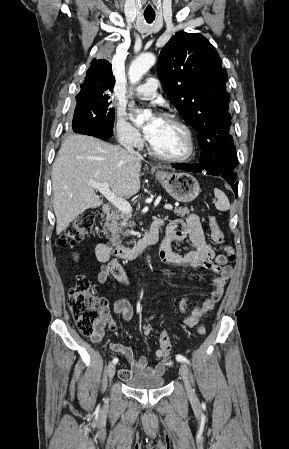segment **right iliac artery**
I'll use <instances>...</instances> for the list:
<instances>
[{
  "label": "right iliac artery",
  "mask_w": 289,
  "mask_h": 449,
  "mask_svg": "<svg viewBox=\"0 0 289 449\" xmlns=\"http://www.w3.org/2000/svg\"><path fill=\"white\" fill-rule=\"evenodd\" d=\"M118 362V359L117 358H114L113 360H112V363L113 364H116Z\"/></svg>",
  "instance_id": "obj_1"
}]
</instances>
